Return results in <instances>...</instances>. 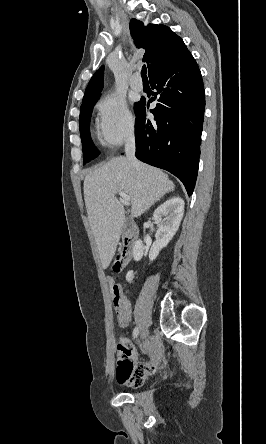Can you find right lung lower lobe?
<instances>
[{"mask_svg": "<svg viewBox=\"0 0 266 444\" xmlns=\"http://www.w3.org/2000/svg\"><path fill=\"white\" fill-rule=\"evenodd\" d=\"M157 105L146 118V101L135 110L136 157L169 171L194 190L200 156L205 94L199 67L193 57L155 73L150 78ZM152 98L148 104L154 101Z\"/></svg>", "mask_w": 266, "mask_h": 444, "instance_id": "98d812e1", "label": "right lung lower lobe"}]
</instances>
